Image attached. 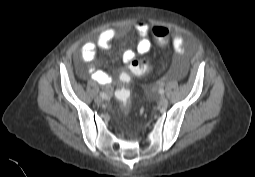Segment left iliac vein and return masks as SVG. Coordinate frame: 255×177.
<instances>
[{
    "label": "left iliac vein",
    "instance_id": "obj_1",
    "mask_svg": "<svg viewBox=\"0 0 255 177\" xmlns=\"http://www.w3.org/2000/svg\"><path fill=\"white\" fill-rule=\"evenodd\" d=\"M168 105V100L165 96H161L160 100H159V106L164 108Z\"/></svg>",
    "mask_w": 255,
    "mask_h": 177
}]
</instances>
